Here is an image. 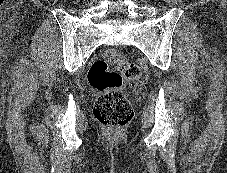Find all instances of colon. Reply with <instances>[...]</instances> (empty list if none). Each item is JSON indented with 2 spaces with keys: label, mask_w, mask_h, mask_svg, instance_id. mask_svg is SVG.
Instances as JSON below:
<instances>
[{
  "label": "colon",
  "mask_w": 227,
  "mask_h": 173,
  "mask_svg": "<svg viewBox=\"0 0 227 173\" xmlns=\"http://www.w3.org/2000/svg\"><path fill=\"white\" fill-rule=\"evenodd\" d=\"M140 78V67L113 49L105 51L102 59L92 64L88 81L99 94L94 115L100 124L118 130L131 121L133 110L121 87L124 79L138 82Z\"/></svg>",
  "instance_id": "5ec220e1"
}]
</instances>
